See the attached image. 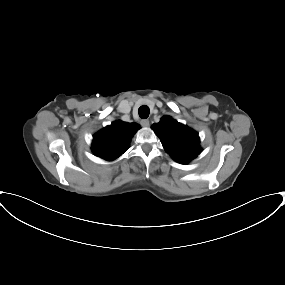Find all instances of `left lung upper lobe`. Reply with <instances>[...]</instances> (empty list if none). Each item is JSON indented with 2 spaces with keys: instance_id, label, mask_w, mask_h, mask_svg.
Returning <instances> with one entry per match:
<instances>
[{
  "instance_id": "5c2ea615",
  "label": "left lung upper lobe",
  "mask_w": 285,
  "mask_h": 285,
  "mask_svg": "<svg viewBox=\"0 0 285 285\" xmlns=\"http://www.w3.org/2000/svg\"><path fill=\"white\" fill-rule=\"evenodd\" d=\"M166 152L178 163L196 158L202 149L198 133L169 116L152 125Z\"/></svg>"
}]
</instances>
